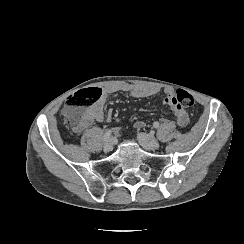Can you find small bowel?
<instances>
[{
    "mask_svg": "<svg viewBox=\"0 0 244 244\" xmlns=\"http://www.w3.org/2000/svg\"><path fill=\"white\" fill-rule=\"evenodd\" d=\"M101 92L100 99L93 105L87 108V112L90 115L91 123L90 126L93 123L96 122H102L105 118L104 116V103L109 99L110 96L117 92H124L129 94L130 96L134 98H147L151 95H154L158 93L159 89L155 87H142V86H135L132 84H124V83H115V84H109L105 87L99 89L96 88ZM165 97L163 99V104L167 106H171L173 114L176 118V122L180 127H185L189 122V115L188 112L183 109L182 107H179L177 105H174L172 103V96H173V90L170 88H166L164 90ZM111 118V115H107V120L109 121ZM137 127L143 128L145 127V123L142 121L137 122ZM80 133V132H77Z\"/></svg>",
    "mask_w": 244,
    "mask_h": 244,
    "instance_id": "small-bowel-1",
    "label": "small bowel"
}]
</instances>
